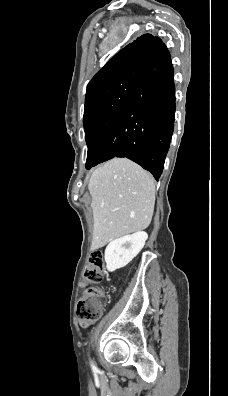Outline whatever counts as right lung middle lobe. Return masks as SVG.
<instances>
[{"instance_id":"right-lung-middle-lobe-1","label":"right lung middle lobe","mask_w":228,"mask_h":396,"mask_svg":"<svg viewBox=\"0 0 228 396\" xmlns=\"http://www.w3.org/2000/svg\"><path fill=\"white\" fill-rule=\"evenodd\" d=\"M142 74L143 70H136L114 77L86 95L83 124L88 146L87 169L93 167L115 118Z\"/></svg>"}]
</instances>
